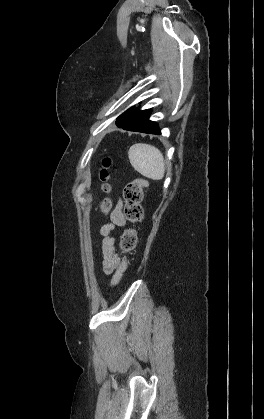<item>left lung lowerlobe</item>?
<instances>
[{
	"label": "left lung lower lobe",
	"instance_id": "0a47b994",
	"mask_svg": "<svg viewBox=\"0 0 264 419\" xmlns=\"http://www.w3.org/2000/svg\"><path fill=\"white\" fill-rule=\"evenodd\" d=\"M151 110H139L131 107L125 114L116 119L119 128L149 134H160V130L155 122L149 120Z\"/></svg>",
	"mask_w": 264,
	"mask_h": 419
}]
</instances>
